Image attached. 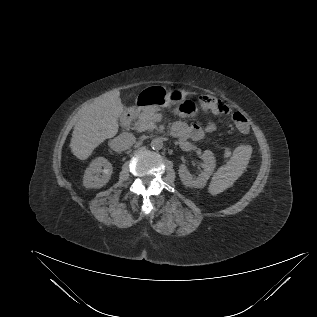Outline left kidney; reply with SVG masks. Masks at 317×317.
<instances>
[{
  "label": "left kidney",
  "instance_id": "obj_1",
  "mask_svg": "<svg viewBox=\"0 0 317 317\" xmlns=\"http://www.w3.org/2000/svg\"><path fill=\"white\" fill-rule=\"evenodd\" d=\"M203 160L204 170L197 178H194L192 174L187 170L185 164L179 166V177L182 183L187 187L203 188L209 177L212 175L214 168L216 166V160L214 154L210 150H205L201 155Z\"/></svg>",
  "mask_w": 317,
  "mask_h": 317
}]
</instances>
